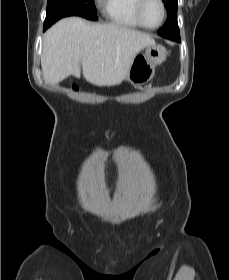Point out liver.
I'll list each match as a JSON object with an SVG mask.
<instances>
[{
    "label": "liver",
    "instance_id": "liver-1",
    "mask_svg": "<svg viewBox=\"0 0 229 280\" xmlns=\"http://www.w3.org/2000/svg\"><path fill=\"white\" fill-rule=\"evenodd\" d=\"M155 40L118 24H92L68 17L44 36L41 66L45 83L58 84L70 75L99 86L120 84L135 56Z\"/></svg>",
    "mask_w": 229,
    "mask_h": 280
}]
</instances>
